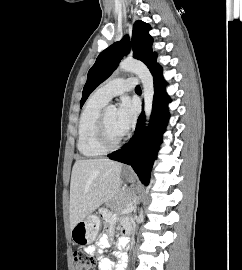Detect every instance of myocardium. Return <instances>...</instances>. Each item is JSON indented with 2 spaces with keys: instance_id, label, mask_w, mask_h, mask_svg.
<instances>
[{
  "instance_id": "f54148a6",
  "label": "myocardium",
  "mask_w": 242,
  "mask_h": 270,
  "mask_svg": "<svg viewBox=\"0 0 242 270\" xmlns=\"http://www.w3.org/2000/svg\"><path fill=\"white\" fill-rule=\"evenodd\" d=\"M126 136L127 134L125 133L120 139L115 142H112L110 140L107 126V109H104L99 116L96 129V140L99 146L106 152L115 150L122 145V143L126 139Z\"/></svg>"
}]
</instances>
